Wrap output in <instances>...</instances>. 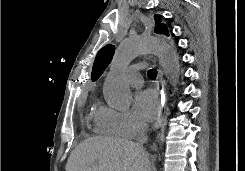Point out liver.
<instances>
[{"mask_svg": "<svg viewBox=\"0 0 245 171\" xmlns=\"http://www.w3.org/2000/svg\"><path fill=\"white\" fill-rule=\"evenodd\" d=\"M66 171H152L148 154L136 143L96 136L84 140L70 154Z\"/></svg>", "mask_w": 245, "mask_h": 171, "instance_id": "1", "label": "liver"}]
</instances>
